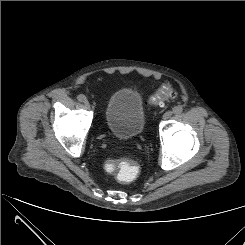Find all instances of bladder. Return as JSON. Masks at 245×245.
Wrapping results in <instances>:
<instances>
[{
  "label": "bladder",
  "instance_id": "31cf9c89",
  "mask_svg": "<svg viewBox=\"0 0 245 245\" xmlns=\"http://www.w3.org/2000/svg\"><path fill=\"white\" fill-rule=\"evenodd\" d=\"M104 122L107 129L119 138L141 135L146 125V113L140 93L132 88L116 90L106 104Z\"/></svg>",
  "mask_w": 245,
  "mask_h": 245
}]
</instances>
